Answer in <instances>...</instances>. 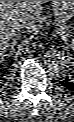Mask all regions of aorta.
Returning a JSON list of instances; mask_svg holds the SVG:
<instances>
[{
    "label": "aorta",
    "mask_w": 74,
    "mask_h": 122,
    "mask_svg": "<svg viewBox=\"0 0 74 122\" xmlns=\"http://www.w3.org/2000/svg\"><path fill=\"white\" fill-rule=\"evenodd\" d=\"M43 63L50 72H60L65 67V56L57 49H49L43 56Z\"/></svg>",
    "instance_id": "obj_1"
}]
</instances>
